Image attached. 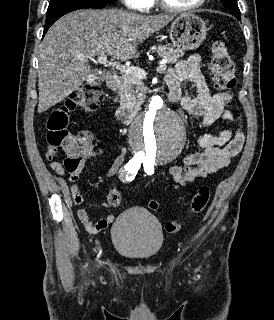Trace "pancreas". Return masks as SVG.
Returning a JSON list of instances; mask_svg holds the SVG:
<instances>
[{"label": "pancreas", "mask_w": 274, "mask_h": 320, "mask_svg": "<svg viewBox=\"0 0 274 320\" xmlns=\"http://www.w3.org/2000/svg\"><path fill=\"white\" fill-rule=\"evenodd\" d=\"M149 52L151 54H158L159 58L175 64L178 58L184 56L183 50H174L168 46H152ZM147 88L143 86V80L133 78L131 74H124L122 76V86H120L117 94L120 96V110H130V112H138L142 104L139 94L146 92Z\"/></svg>", "instance_id": "pancreas-1"}]
</instances>
